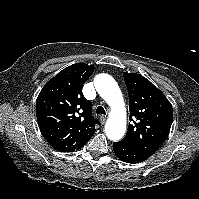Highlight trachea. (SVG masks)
<instances>
[{
    "mask_svg": "<svg viewBox=\"0 0 199 199\" xmlns=\"http://www.w3.org/2000/svg\"><path fill=\"white\" fill-rule=\"evenodd\" d=\"M96 113H97V114H103V115L106 114L105 109H104L102 106H98V107H97Z\"/></svg>",
    "mask_w": 199,
    "mask_h": 199,
    "instance_id": "obj_1",
    "label": "trachea"
}]
</instances>
